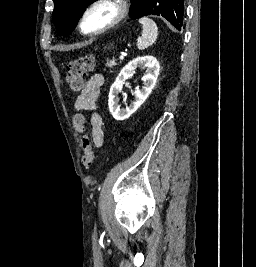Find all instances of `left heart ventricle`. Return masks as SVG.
I'll list each match as a JSON object with an SVG mask.
<instances>
[{
	"instance_id": "b2bd125f",
	"label": "left heart ventricle",
	"mask_w": 256,
	"mask_h": 267,
	"mask_svg": "<svg viewBox=\"0 0 256 267\" xmlns=\"http://www.w3.org/2000/svg\"><path fill=\"white\" fill-rule=\"evenodd\" d=\"M115 11L112 7L101 6L91 11L85 21L84 29L88 32H94L105 27L114 17Z\"/></svg>"
}]
</instances>
